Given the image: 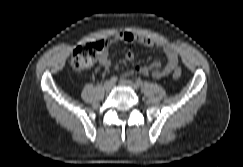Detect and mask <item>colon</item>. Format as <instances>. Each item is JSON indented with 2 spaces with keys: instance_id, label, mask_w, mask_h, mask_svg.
Listing matches in <instances>:
<instances>
[{
  "instance_id": "obj_1",
  "label": "colon",
  "mask_w": 243,
  "mask_h": 167,
  "mask_svg": "<svg viewBox=\"0 0 243 167\" xmlns=\"http://www.w3.org/2000/svg\"><path fill=\"white\" fill-rule=\"evenodd\" d=\"M104 47L102 41H94L79 46L73 52L71 56L70 65L71 68L76 72H81L87 69L95 60L96 54L99 50ZM182 72L180 69H176L173 73L174 78H179Z\"/></svg>"
}]
</instances>
